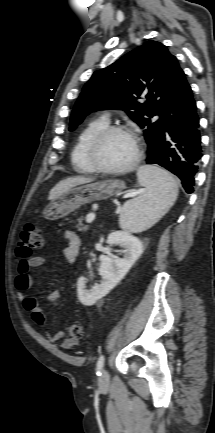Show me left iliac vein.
<instances>
[{
  "instance_id": "left-iliac-vein-1",
  "label": "left iliac vein",
  "mask_w": 215,
  "mask_h": 433,
  "mask_svg": "<svg viewBox=\"0 0 215 433\" xmlns=\"http://www.w3.org/2000/svg\"><path fill=\"white\" fill-rule=\"evenodd\" d=\"M108 381H109V374H108V371H107L105 368H103V369L101 370V375H100V377H99V383H100L101 385H104V384H107Z\"/></svg>"
}]
</instances>
